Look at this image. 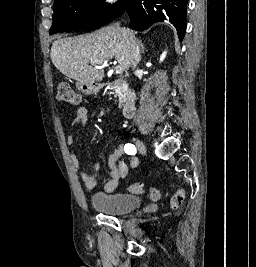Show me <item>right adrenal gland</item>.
Listing matches in <instances>:
<instances>
[{"label": "right adrenal gland", "mask_w": 256, "mask_h": 267, "mask_svg": "<svg viewBox=\"0 0 256 267\" xmlns=\"http://www.w3.org/2000/svg\"><path fill=\"white\" fill-rule=\"evenodd\" d=\"M139 44H140V48H141V54H144L145 48H144V44H142V40H140Z\"/></svg>", "instance_id": "obj_1"}]
</instances>
